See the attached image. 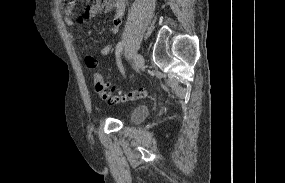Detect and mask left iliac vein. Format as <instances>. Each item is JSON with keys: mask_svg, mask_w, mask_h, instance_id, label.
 <instances>
[{"mask_svg": "<svg viewBox=\"0 0 285 183\" xmlns=\"http://www.w3.org/2000/svg\"><path fill=\"white\" fill-rule=\"evenodd\" d=\"M144 67V58L141 54H137L134 58V68L139 71Z\"/></svg>", "mask_w": 285, "mask_h": 183, "instance_id": "4c4485c4", "label": "left iliac vein"}]
</instances>
